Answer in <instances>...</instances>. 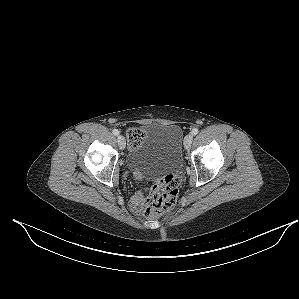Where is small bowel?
I'll use <instances>...</instances> for the list:
<instances>
[{
    "label": "small bowel",
    "instance_id": "obj_1",
    "mask_svg": "<svg viewBox=\"0 0 299 299\" xmlns=\"http://www.w3.org/2000/svg\"><path fill=\"white\" fill-rule=\"evenodd\" d=\"M149 201H150V197L146 196L143 191H138L132 197V201H131L132 208L135 211L142 212L147 207Z\"/></svg>",
    "mask_w": 299,
    "mask_h": 299
}]
</instances>
